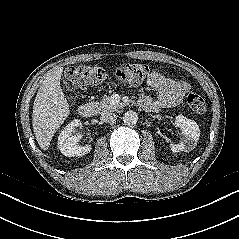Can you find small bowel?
<instances>
[{
  "instance_id": "1",
  "label": "small bowel",
  "mask_w": 239,
  "mask_h": 239,
  "mask_svg": "<svg viewBox=\"0 0 239 239\" xmlns=\"http://www.w3.org/2000/svg\"><path fill=\"white\" fill-rule=\"evenodd\" d=\"M147 84L157 92L158 97L154 99L143 96L140 99V105L146 111L156 112L165 107L176 106L188 92V85L185 82L175 81L158 71L150 73Z\"/></svg>"
}]
</instances>
